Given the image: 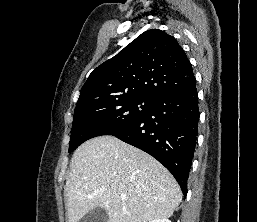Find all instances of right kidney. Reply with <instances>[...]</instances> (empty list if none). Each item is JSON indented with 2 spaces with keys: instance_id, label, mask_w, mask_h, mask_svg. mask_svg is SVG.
Here are the masks:
<instances>
[{
  "instance_id": "ca27d5eb",
  "label": "right kidney",
  "mask_w": 257,
  "mask_h": 222,
  "mask_svg": "<svg viewBox=\"0 0 257 222\" xmlns=\"http://www.w3.org/2000/svg\"><path fill=\"white\" fill-rule=\"evenodd\" d=\"M151 222H171V221L165 218V219H155V220H152Z\"/></svg>"
}]
</instances>
